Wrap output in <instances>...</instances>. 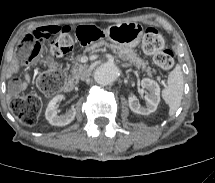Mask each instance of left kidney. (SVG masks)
<instances>
[{"label": "left kidney", "instance_id": "left-kidney-1", "mask_svg": "<svg viewBox=\"0 0 215 183\" xmlns=\"http://www.w3.org/2000/svg\"><path fill=\"white\" fill-rule=\"evenodd\" d=\"M141 86L149 91L145 95L146 106H141L136 96L130 94L128 97L129 107L137 114L149 115L156 111L160 102V87L157 82L149 78L142 79Z\"/></svg>", "mask_w": 215, "mask_h": 183}]
</instances>
